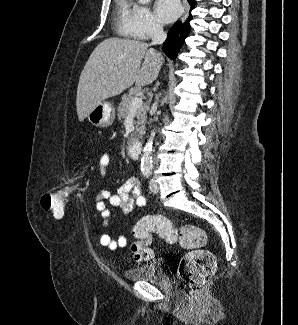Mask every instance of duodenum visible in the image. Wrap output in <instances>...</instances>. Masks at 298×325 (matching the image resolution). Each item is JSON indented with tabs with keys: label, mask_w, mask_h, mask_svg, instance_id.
<instances>
[{
	"label": "duodenum",
	"mask_w": 298,
	"mask_h": 325,
	"mask_svg": "<svg viewBox=\"0 0 298 325\" xmlns=\"http://www.w3.org/2000/svg\"><path fill=\"white\" fill-rule=\"evenodd\" d=\"M142 150L143 145L138 140L131 141L128 145L129 155L134 159H138L141 156Z\"/></svg>",
	"instance_id": "1"
}]
</instances>
